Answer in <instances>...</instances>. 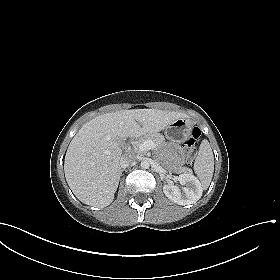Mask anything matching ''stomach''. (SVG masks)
I'll use <instances>...</instances> for the list:
<instances>
[{
    "label": "stomach",
    "mask_w": 280,
    "mask_h": 280,
    "mask_svg": "<svg viewBox=\"0 0 280 280\" xmlns=\"http://www.w3.org/2000/svg\"><path fill=\"white\" fill-rule=\"evenodd\" d=\"M193 123L189 118H179L171 122L165 129V135L170 140L183 141L192 130Z\"/></svg>",
    "instance_id": "obj_1"
}]
</instances>
